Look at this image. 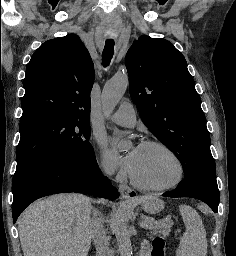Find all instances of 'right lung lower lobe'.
<instances>
[{"mask_svg": "<svg viewBox=\"0 0 236 256\" xmlns=\"http://www.w3.org/2000/svg\"><path fill=\"white\" fill-rule=\"evenodd\" d=\"M67 192H86L107 199L119 197L110 180L101 174L95 155L42 156L16 167L12 181L13 223L36 199Z\"/></svg>", "mask_w": 236, "mask_h": 256, "instance_id": "right-lung-lower-lobe-1", "label": "right lung lower lobe"}]
</instances>
